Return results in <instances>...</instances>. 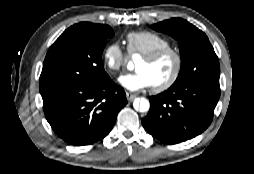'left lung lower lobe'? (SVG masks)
Here are the masks:
<instances>
[{
  "label": "left lung lower lobe",
  "mask_w": 254,
  "mask_h": 174,
  "mask_svg": "<svg viewBox=\"0 0 254 174\" xmlns=\"http://www.w3.org/2000/svg\"><path fill=\"white\" fill-rule=\"evenodd\" d=\"M220 97L219 82L198 81L149 97L150 110L143 127L167 144L184 142L210 125Z\"/></svg>",
  "instance_id": "left-lung-lower-lobe-1"
}]
</instances>
